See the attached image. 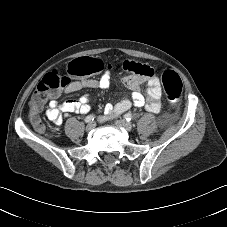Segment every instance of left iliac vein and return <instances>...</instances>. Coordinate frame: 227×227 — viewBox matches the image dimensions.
<instances>
[{"mask_svg": "<svg viewBox=\"0 0 227 227\" xmlns=\"http://www.w3.org/2000/svg\"><path fill=\"white\" fill-rule=\"evenodd\" d=\"M115 125L117 127L123 128V129H125L127 131H131L133 129L132 124L129 123V122H126L125 120H116L115 121Z\"/></svg>", "mask_w": 227, "mask_h": 227, "instance_id": "4c4485c4", "label": "left iliac vein"}]
</instances>
